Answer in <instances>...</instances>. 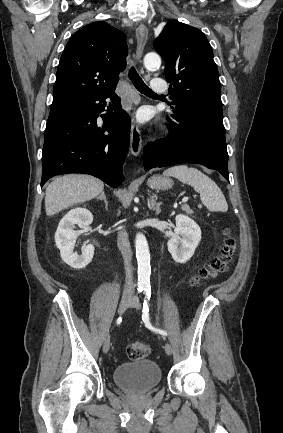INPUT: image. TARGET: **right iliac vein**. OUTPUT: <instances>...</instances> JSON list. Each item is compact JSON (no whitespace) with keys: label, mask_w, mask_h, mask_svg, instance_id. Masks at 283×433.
<instances>
[{"label":"right iliac vein","mask_w":283,"mask_h":433,"mask_svg":"<svg viewBox=\"0 0 283 433\" xmlns=\"http://www.w3.org/2000/svg\"><path fill=\"white\" fill-rule=\"evenodd\" d=\"M130 304H131V299L126 296L123 297L121 299L120 306H119L120 314L123 313ZM109 348H110V335H107L103 343V352L107 353L109 351Z\"/></svg>","instance_id":"right-iliac-vein-1"}]
</instances>
